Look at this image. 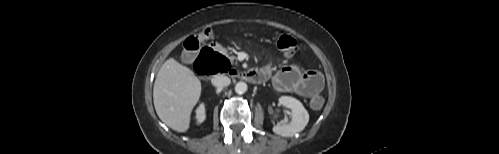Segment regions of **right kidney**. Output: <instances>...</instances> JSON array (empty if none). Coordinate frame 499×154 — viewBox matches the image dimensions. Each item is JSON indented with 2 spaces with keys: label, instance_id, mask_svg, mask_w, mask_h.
I'll list each match as a JSON object with an SVG mask.
<instances>
[{
  "label": "right kidney",
  "instance_id": "obj_1",
  "mask_svg": "<svg viewBox=\"0 0 499 154\" xmlns=\"http://www.w3.org/2000/svg\"><path fill=\"white\" fill-rule=\"evenodd\" d=\"M196 119L198 123H202L205 120V108L204 104H201L196 110Z\"/></svg>",
  "mask_w": 499,
  "mask_h": 154
}]
</instances>
